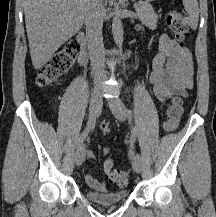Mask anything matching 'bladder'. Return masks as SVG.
<instances>
[{
    "label": "bladder",
    "instance_id": "1",
    "mask_svg": "<svg viewBox=\"0 0 216 217\" xmlns=\"http://www.w3.org/2000/svg\"><path fill=\"white\" fill-rule=\"evenodd\" d=\"M86 197L97 204L101 205H112L125 201L128 198V190L127 189H119L106 193H98L92 190L85 191Z\"/></svg>",
    "mask_w": 216,
    "mask_h": 217
}]
</instances>
